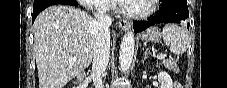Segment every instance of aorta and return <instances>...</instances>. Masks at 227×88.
<instances>
[{"mask_svg":"<svg viewBox=\"0 0 227 88\" xmlns=\"http://www.w3.org/2000/svg\"><path fill=\"white\" fill-rule=\"evenodd\" d=\"M135 38L134 33L130 30L125 33L120 45V67L123 72H126L132 63L134 56Z\"/></svg>","mask_w":227,"mask_h":88,"instance_id":"1","label":"aorta"}]
</instances>
